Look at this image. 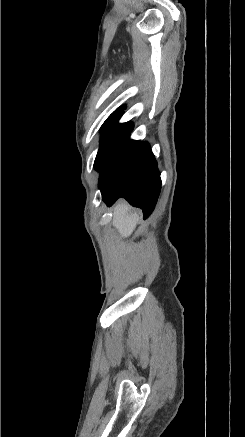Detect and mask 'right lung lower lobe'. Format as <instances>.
I'll list each match as a JSON object with an SVG mask.
<instances>
[{
	"instance_id": "right-lung-lower-lobe-1",
	"label": "right lung lower lobe",
	"mask_w": 245,
	"mask_h": 437,
	"mask_svg": "<svg viewBox=\"0 0 245 437\" xmlns=\"http://www.w3.org/2000/svg\"><path fill=\"white\" fill-rule=\"evenodd\" d=\"M129 134L99 170L98 185L107 206L125 198L131 205L141 208L146 219L160 194V173L149 144L131 140Z\"/></svg>"
}]
</instances>
